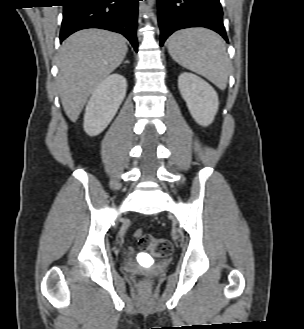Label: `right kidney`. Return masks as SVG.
<instances>
[{
	"mask_svg": "<svg viewBox=\"0 0 304 329\" xmlns=\"http://www.w3.org/2000/svg\"><path fill=\"white\" fill-rule=\"evenodd\" d=\"M127 90V81L120 74L109 75L92 92L86 106L83 127L90 136L100 134L119 109Z\"/></svg>",
	"mask_w": 304,
	"mask_h": 329,
	"instance_id": "obj_1",
	"label": "right kidney"
}]
</instances>
